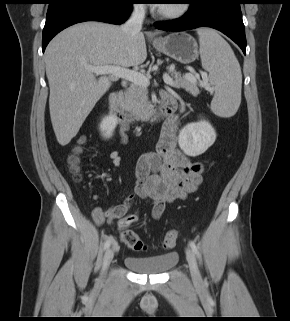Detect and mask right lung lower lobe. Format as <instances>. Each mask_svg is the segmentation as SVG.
I'll use <instances>...</instances> for the list:
<instances>
[{"label":"right lung lower lobe","mask_w":290,"mask_h":321,"mask_svg":"<svg viewBox=\"0 0 290 321\" xmlns=\"http://www.w3.org/2000/svg\"><path fill=\"white\" fill-rule=\"evenodd\" d=\"M136 0H52L43 29L42 50L61 30L84 21L122 24Z\"/></svg>","instance_id":"98d812e1"}]
</instances>
